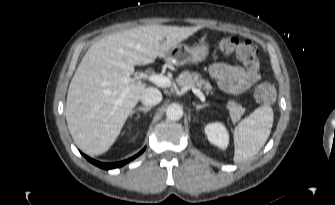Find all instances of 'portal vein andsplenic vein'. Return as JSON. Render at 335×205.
Wrapping results in <instances>:
<instances>
[{"instance_id": "portal-vein-and-splenic-vein-1", "label": "portal vein and splenic vein", "mask_w": 335, "mask_h": 205, "mask_svg": "<svg viewBox=\"0 0 335 205\" xmlns=\"http://www.w3.org/2000/svg\"><path fill=\"white\" fill-rule=\"evenodd\" d=\"M143 78L149 80L150 82L156 84L157 86L160 87H170L171 86V81L168 77L163 76V75H158V74H151L148 76H144ZM138 78H122L121 81L128 83H135L136 81H138ZM192 92L202 101H205V96L204 94L201 92L200 89H197L195 87H191Z\"/></svg>"}]
</instances>
